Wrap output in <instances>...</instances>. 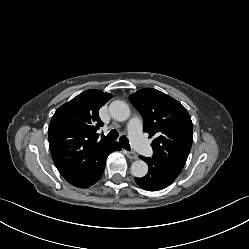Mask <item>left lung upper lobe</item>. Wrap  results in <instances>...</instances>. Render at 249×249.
<instances>
[{
	"instance_id": "obj_1",
	"label": "left lung upper lobe",
	"mask_w": 249,
	"mask_h": 249,
	"mask_svg": "<svg viewBox=\"0 0 249 249\" xmlns=\"http://www.w3.org/2000/svg\"><path fill=\"white\" fill-rule=\"evenodd\" d=\"M129 100L144 120V132L155 137L152 159L181 172L193 141V124L187 110L172 97L153 88L141 89Z\"/></svg>"
}]
</instances>
